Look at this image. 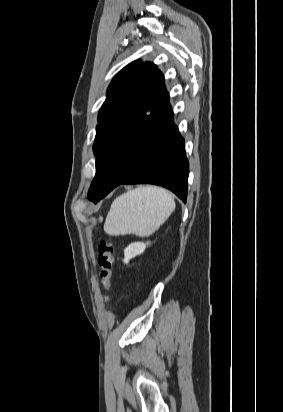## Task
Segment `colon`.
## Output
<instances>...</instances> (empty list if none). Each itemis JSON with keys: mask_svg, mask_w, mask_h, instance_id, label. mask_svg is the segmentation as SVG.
Wrapping results in <instances>:
<instances>
[{"mask_svg": "<svg viewBox=\"0 0 283 412\" xmlns=\"http://www.w3.org/2000/svg\"><path fill=\"white\" fill-rule=\"evenodd\" d=\"M98 266L100 269V279L104 291L107 293L110 284L112 270L114 266V249L113 244L108 240H101L98 245ZM108 301V297L104 298Z\"/></svg>", "mask_w": 283, "mask_h": 412, "instance_id": "5ec220e1", "label": "colon"}]
</instances>
